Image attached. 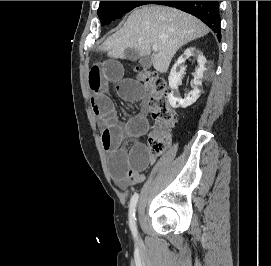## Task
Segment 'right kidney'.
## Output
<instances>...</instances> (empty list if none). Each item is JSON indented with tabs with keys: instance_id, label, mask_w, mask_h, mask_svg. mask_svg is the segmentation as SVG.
Here are the masks:
<instances>
[{
	"instance_id": "ca27d5eb",
	"label": "right kidney",
	"mask_w": 271,
	"mask_h": 266,
	"mask_svg": "<svg viewBox=\"0 0 271 266\" xmlns=\"http://www.w3.org/2000/svg\"><path fill=\"white\" fill-rule=\"evenodd\" d=\"M190 56L197 57L198 68L194 73V84L196 86L190 93L187 94L184 99H182L179 97L176 91L178 90L182 74L184 73V67L182 65L184 64L185 60ZM205 64L206 58L201 53L195 51L193 47L187 48L184 53L179 57L177 63L171 69L170 75L168 77L169 86L171 88V92L168 94V100L173 108H186L195 103L196 100L200 97L201 89L199 87L202 85L203 74L206 70ZM178 66H180L179 71H177Z\"/></svg>"
}]
</instances>
